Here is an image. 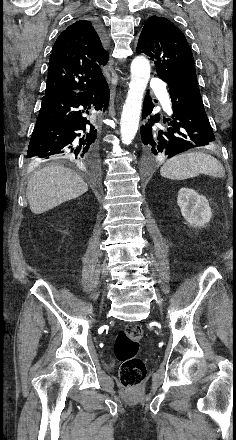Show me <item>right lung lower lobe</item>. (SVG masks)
I'll return each instance as SVG.
<instances>
[{
    "label": "right lung lower lobe",
    "instance_id": "1",
    "mask_svg": "<svg viewBox=\"0 0 236 440\" xmlns=\"http://www.w3.org/2000/svg\"><path fill=\"white\" fill-rule=\"evenodd\" d=\"M109 96L105 79L84 91L45 95L27 158L34 162L64 160L92 173L98 151L96 118L108 107Z\"/></svg>",
    "mask_w": 236,
    "mask_h": 440
}]
</instances>
